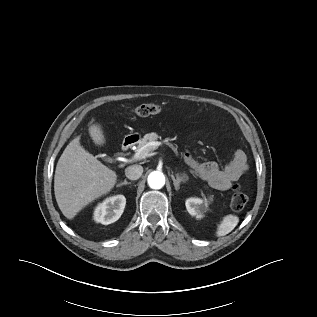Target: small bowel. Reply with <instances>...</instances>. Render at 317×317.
I'll return each instance as SVG.
<instances>
[{
  "label": "small bowel",
  "mask_w": 317,
  "mask_h": 317,
  "mask_svg": "<svg viewBox=\"0 0 317 317\" xmlns=\"http://www.w3.org/2000/svg\"><path fill=\"white\" fill-rule=\"evenodd\" d=\"M184 157L202 180L219 190L229 189L232 183L248 169L247 156L240 149L234 152L232 158L224 166H219L216 162H199L188 151L184 153Z\"/></svg>",
  "instance_id": "1"
}]
</instances>
